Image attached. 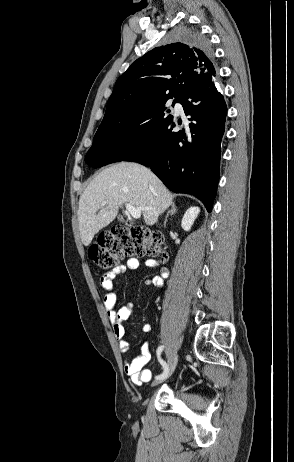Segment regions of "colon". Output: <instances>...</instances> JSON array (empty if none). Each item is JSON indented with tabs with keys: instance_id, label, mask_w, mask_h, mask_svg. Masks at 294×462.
I'll return each instance as SVG.
<instances>
[{
	"instance_id": "1",
	"label": "colon",
	"mask_w": 294,
	"mask_h": 462,
	"mask_svg": "<svg viewBox=\"0 0 294 462\" xmlns=\"http://www.w3.org/2000/svg\"><path fill=\"white\" fill-rule=\"evenodd\" d=\"M163 236L143 227L119 225L99 237L98 243L89 249V257L102 270H111L128 256L151 255L167 259L161 249Z\"/></svg>"
}]
</instances>
